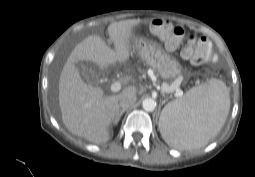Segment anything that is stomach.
I'll use <instances>...</instances> for the list:
<instances>
[{
  "mask_svg": "<svg viewBox=\"0 0 255 177\" xmlns=\"http://www.w3.org/2000/svg\"><path fill=\"white\" fill-rule=\"evenodd\" d=\"M133 47L139 57L164 79L176 78L181 73V65L168 55L160 45L142 38L132 37Z\"/></svg>",
  "mask_w": 255,
  "mask_h": 177,
  "instance_id": "stomach-1",
  "label": "stomach"
}]
</instances>
